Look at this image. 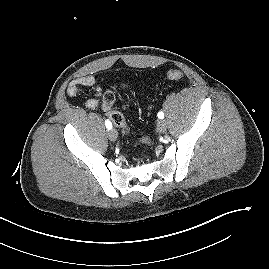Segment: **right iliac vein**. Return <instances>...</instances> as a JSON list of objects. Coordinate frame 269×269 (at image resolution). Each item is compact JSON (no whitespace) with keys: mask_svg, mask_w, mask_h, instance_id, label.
<instances>
[{"mask_svg":"<svg viewBox=\"0 0 269 269\" xmlns=\"http://www.w3.org/2000/svg\"><path fill=\"white\" fill-rule=\"evenodd\" d=\"M107 135H108V138L111 141H116L117 140L118 134H117L115 129L108 130Z\"/></svg>","mask_w":269,"mask_h":269,"instance_id":"right-iliac-vein-1","label":"right iliac vein"}]
</instances>
